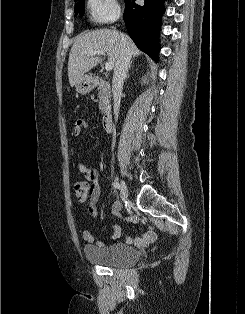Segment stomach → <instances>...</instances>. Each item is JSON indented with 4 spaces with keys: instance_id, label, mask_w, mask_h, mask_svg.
Instances as JSON below:
<instances>
[{
    "instance_id": "stomach-1",
    "label": "stomach",
    "mask_w": 245,
    "mask_h": 314,
    "mask_svg": "<svg viewBox=\"0 0 245 314\" xmlns=\"http://www.w3.org/2000/svg\"><path fill=\"white\" fill-rule=\"evenodd\" d=\"M76 91L80 94L89 93L94 87V78L90 75H83L75 84Z\"/></svg>"
}]
</instances>
